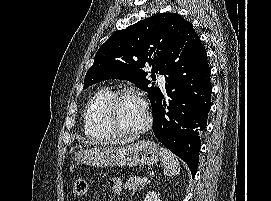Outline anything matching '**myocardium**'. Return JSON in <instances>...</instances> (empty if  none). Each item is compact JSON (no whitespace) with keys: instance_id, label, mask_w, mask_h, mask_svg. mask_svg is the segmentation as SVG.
I'll use <instances>...</instances> for the list:
<instances>
[{"instance_id":"obj_1","label":"myocardium","mask_w":271,"mask_h":201,"mask_svg":"<svg viewBox=\"0 0 271 201\" xmlns=\"http://www.w3.org/2000/svg\"><path fill=\"white\" fill-rule=\"evenodd\" d=\"M125 97H132L139 100L143 104V107L145 109L146 114L145 122L140 128L136 130H127L121 127L116 119L115 115L116 105L120 99ZM104 115L110 127L119 136H139L145 133L151 127L152 124V114L147 101L142 95L131 89H121L112 93L105 104Z\"/></svg>"}]
</instances>
